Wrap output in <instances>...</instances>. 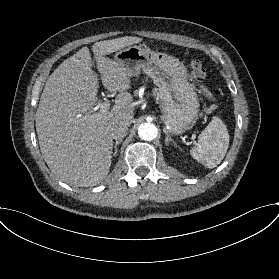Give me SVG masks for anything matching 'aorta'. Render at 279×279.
Wrapping results in <instances>:
<instances>
[{
	"label": "aorta",
	"mask_w": 279,
	"mask_h": 279,
	"mask_svg": "<svg viewBox=\"0 0 279 279\" xmlns=\"http://www.w3.org/2000/svg\"><path fill=\"white\" fill-rule=\"evenodd\" d=\"M138 135L142 140L152 141L157 137L158 129L154 124L145 122L139 126Z\"/></svg>",
	"instance_id": "762f6f07"
}]
</instances>
